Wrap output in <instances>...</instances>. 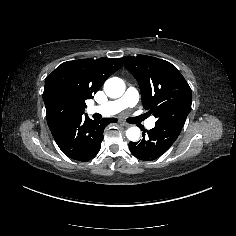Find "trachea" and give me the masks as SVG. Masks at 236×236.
Wrapping results in <instances>:
<instances>
[{"label": "trachea", "instance_id": "trachea-1", "mask_svg": "<svg viewBox=\"0 0 236 236\" xmlns=\"http://www.w3.org/2000/svg\"><path fill=\"white\" fill-rule=\"evenodd\" d=\"M147 117H148L147 114H143V115H141V116H139V117L130 118L129 120L126 119V121L134 124L135 122H137V121L140 122L141 120H144V119L147 118ZM134 121H135V122H134Z\"/></svg>", "mask_w": 236, "mask_h": 236}]
</instances>
